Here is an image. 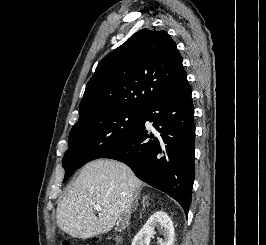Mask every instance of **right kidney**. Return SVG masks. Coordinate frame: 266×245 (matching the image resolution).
Instances as JSON below:
<instances>
[{
    "mask_svg": "<svg viewBox=\"0 0 266 245\" xmlns=\"http://www.w3.org/2000/svg\"><path fill=\"white\" fill-rule=\"evenodd\" d=\"M155 227H160L162 233H164V239L160 241L161 245H173L175 239L173 223L164 211H156V213L148 219L141 231L134 237L132 245H149L151 237H153L155 233Z\"/></svg>",
    "mask_w": 266,
    "mask_h": 245,
    "instance_id": "1",
    "label": "right kidney"
}]
</instances>
